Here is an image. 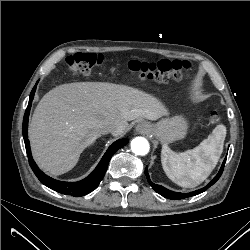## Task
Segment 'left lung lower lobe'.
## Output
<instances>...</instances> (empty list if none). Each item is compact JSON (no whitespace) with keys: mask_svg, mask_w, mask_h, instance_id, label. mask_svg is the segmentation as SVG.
I'll return each mask as SVG.
<instances>
[{"mask_svg":"<svg viewBox=\"0 0 250 250\" xmlns=\"http://www.w3.org/2000/svg\"><path fill=\"white\" fill-rule=\"evenodd\" d=\"M225 161H226V158H225V160H224L218 174L213 178V180L207 186H205L204 188H201L199 190L189 192V193H185V194L184 193L173 192V191H170V190L164 188L163 186L154 184L149 178V174L147 172V167L145 169V175L147 177V180H148L149 184L152 186V188L157 193H159L160 195H162V196H164L165 198H168V199L179 200V199H184V198H187V197L198 195V194L206 191L210 186H212L219 179V177L221 176V174L223 172Z\"/></svg>","mask_w":250,"mask_h":250,"instance_id":"1","label":"left lung lower lobe"}]
</instances>
